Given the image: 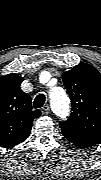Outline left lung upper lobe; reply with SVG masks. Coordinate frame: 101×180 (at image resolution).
I'll return each instance as SVG.
<instances>
[{"label": "left lung upper lobe", "instance_id": "5c2ea615", "mask_svg": "<svg viewBox=\"0 0 101 180\" xmlns=\"http://www.w3.org/2000/svg\"><path fill=\"white\" fill-rule=\"evenodd\" d=\"M62 79L72 103L70 117L60 123L62 134L75 145L94 146L101 141V74L80 63Z\"/></svg>", "mask_w": 101, "mask_h": 180}]
</instances>
